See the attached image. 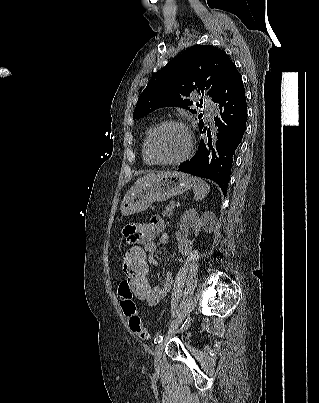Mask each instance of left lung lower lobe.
<instances>
[{
    "label": "left lung lower lobe",
    "instance_id": "left-lung-lower-lobe-1",
    "mask_svg": "<svg viewBox=\"0 0 319 403\" xmlns=\"http://www.w3.org/2000/svg\"><path fill=\"white\" fill-rule=\"evenodd\" d=\"M213 101L219 104L220 113V117L214 118L219 131L216 145H211L210 130L203 125L199 128L200 133L207 131L208 144L206 145L201 139L198 152L193 158L182 163L178 171L215 181L225 195L233 156L245 132L247 118L245 89L234 64L226 74Z\"/></svg>",
    "mask_w": 319,
    "mask_h": 403
}]
</instances>
